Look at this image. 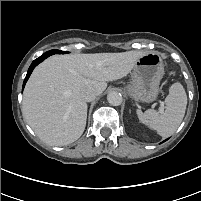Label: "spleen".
I'll return each instance as SVG.
<instances>
[{
  "label": "spleen",
  "instance_id": "obj_1",
  "mask_svg": "<svg viewBox=\"0 0 201 201\" xmlns=\"http://www.w3.org/2000/svg\"><path fill=\"white\" fill-rule=\"evenodd\" d=\"M187 106V95L180 83H174L170 87L165 99V110L158 112L148 109L144 113L137 110L139 120L152 130H156L162 137L172 135L181 124Z\"/></svg>",
  "mask_w": 201,
  "mask_h": 201
}]
</instances>
